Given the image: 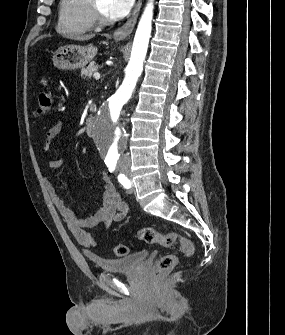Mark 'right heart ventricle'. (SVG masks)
Listing matches in <instances>:
<instances>
[{
  "mask_svg": "<svg viewBox=\"0 0 285 335\" xmlns=\"http://www.w3.org/2000/svg\"><path fill=\"white\" fill-rule=\"evenodd\" d=\"M93 27V1H61L57 23L60 35L78 39Z\"/></svg>",
  "mask_w": 285,
  "mask_h": 335,
  "instance_id": "1",
  "label": "right heart ventricle"
}]
</instances>
